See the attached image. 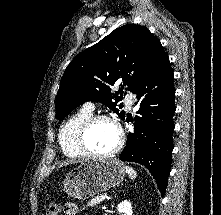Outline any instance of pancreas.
Returning <instances> with one entry per match:
<instances>
[{
  "label": "pancreas",
  "mask_w": 221,
  "mask_h": 215,
  "mask_svg": "<svg viewBox=\"0 0 221 215\" xmlns=\"http://www.w3.org/2000/svg\"><path fill=\"white\" fill-rule=\"evenodd\" d=\"M102 201H103V199H101V196H97V197L91 199V201H89L87 205L90 207H94V206L100 204Z\"/></svg>",
  "instance_id": "cf45deb5"
}]
</instances>
